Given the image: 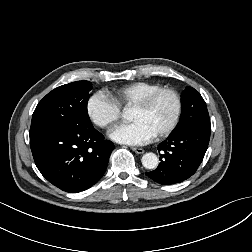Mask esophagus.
<instances>
[{
    "label": "esophagus",
    "instance_id": "esophagus-1",
    "mask_svg": "<svg viewBox=\"0 0 252 252\" xmlns=\"http://www.w3.org/2000/svg\"><path fill=\"white\" fill-rule=\"evenodd\" d=\"M131 149L136 152L137 154H142L144 153V149L138 148V147H131Z\"/></svg>",
    "mask_w": 252,
    "mask_h": 252
}]
</instances>
